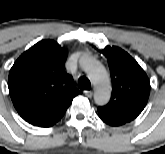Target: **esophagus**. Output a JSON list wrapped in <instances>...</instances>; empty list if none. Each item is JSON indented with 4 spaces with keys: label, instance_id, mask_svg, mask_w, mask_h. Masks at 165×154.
Masks as SVG:
<instances>
[{
    "label": "esophagus",
    "instance_id": "esophagus-1",
    "mask_svg": "<svg viewBox=\"0 0 165 154\" xmlns=\"http://www.w3.org/2000/svg\"><path fill=\"white\" fill-rule=\"evenodd\" d=\"M85 96L88 97V98H91L93 96V91L91 90H87L84 92Z\"/></svg>",
    "mask_w": 165,
    "mask_h": 154
}]
</instances>
